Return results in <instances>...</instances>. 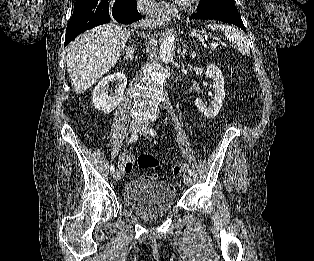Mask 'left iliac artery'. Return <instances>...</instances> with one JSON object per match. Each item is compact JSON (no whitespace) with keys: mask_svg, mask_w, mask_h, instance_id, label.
Returning a JSON list of instances; mask_svg holds the SVG:
<instances>
[{"mask_svg":"<svg viewBox=\"0 0 314 261\" xmlns=\"http://www.w3.org/2000/svg\"><path fill=\"white\" fill-rule=\"evenodd\" d=\"M149 132H150V134H151L152 136H156V135H157L156 131H155L154 129H152V128H150ZM188 174H189L190 176L193 175V172H192L191 169H188Z\"/></svg>","mask_w":314,"mask_h":261,"instance_id":"44dca946","label":"left iliac artery"}]
</instances>
